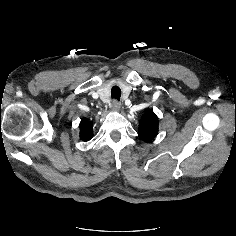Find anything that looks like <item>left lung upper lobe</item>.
I'll list each match as a JSON object with an SVG mask.
<instances>
[{
  "instance_id": "5c2ea615",
  "label": "left lung upper lobe",
  "mask_w": 236,
  "mask_h": 236,
  "mask_svg": "<svg viewBox=\"0 0 236 236\" xmlns=\"http://www.w3.org/2000/svg\"><path fill=\"white\" fill-rule=\"evenodd\" d=\"M159 121L155 113L147 109L139 122L138 134L145 142L152 141L158 133Z\"/></svg>"
}]
</instances>
